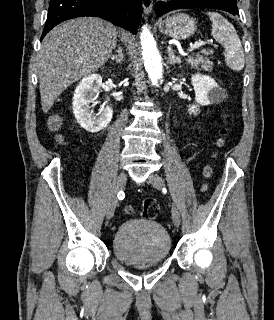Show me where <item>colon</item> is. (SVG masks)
Returning <instances> with one entry per match:
<instances>
[{
	"label": "colon",
	"instance_id": "5ec220e1",
	"mask_svg": "<svg viewBox=\"0 0 274 320\" xmlns=\"http://www.w3.org/2000/svg\"><path fill=\"white\" fill-rule=\"evenodd\" d=\"M47 125H48L49 129L57 130V129H59L61 127V119L56 115H52L49 118V121H48ZM124 211L127 214H133L134 213V209L131 206L125 207ZM141 212H142L143 216L145 218H147V219L155 218L159 213L158 202L153 198L145 199L144 202H143V206H142Z\"/></svg>",
	"mask_w": 274,
	"mask_h": 320
}]
</instances>
